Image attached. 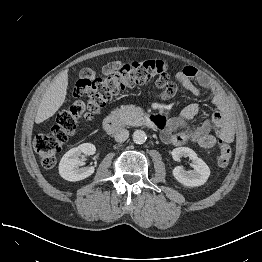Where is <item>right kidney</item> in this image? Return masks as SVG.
Instances as JSON below:
<instances>
[{"instance_id":"ca27d5eb","label":"right kidney","mask_w":262,"mask_h":262,"mask_svg":"<svg viewBox=\"0 0 262 262\" xmlns=\"http://www.w3.org/2000/svg\"><path fill=\"white\" fill-rule=\"evenodd\" d=\"M96 152V147L91 143H83L78 147L70 149L64 154L59 163V174L68 181H80L94 173L93 166L81 167L84 162L80 157L85 155H93Z\"/></svg>"}]
</instances>
